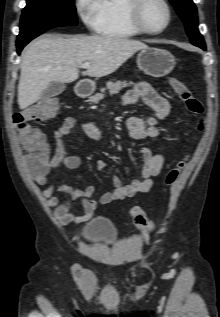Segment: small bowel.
Returning a JSON list of instances; mask_svg holds the SVG:
<instances>
[{"label":"small bowel","mask_w":220,"mask_h":317,"mask_svg":"<svg viewBox=\"0 0 220 317\" xmlns=\"http://www.w3.org/2000/svg\"><path fill=\"white\" fill-rule=\"evenodd\" d=\"M122 102L124 105L141 102L154 112V116L147 119L136 116L128 118L127 128L131 138L143 140L160 134L158 122L167 117L170 111V104L150 84L147 82L135 84L124 94ZM75 123L76 121L73 117H67L53 132V155L42 169H37L27 164L33 180L42 186L41 193L46 199L47 205L54 208L53 215L61 225L84 222L98 211L100 205L129 198L139 193H147L153 186V178L160 173L164 163L162 154H152L147 147H143L141 149L143 159L141 178L125 185L119 177L113 176L114 190L101 196L99 201L92 199L95 193L94 186H88L85 189H75L67 184L56 186L53 183H49L47 176L52 169L60 165L69 169H75L80 166V158L75 155H69L63 142V138L71 134ZM83 130L88 137L94 140H103L105 138L103 131L93 122L83 124ZM106 167L107 162L105 160H97L96 168L98 170H104ZM56 191L65 195V200L62 203H60L59 197L55 195ZM73 201L81 203L84 209L83 215L76 214L71 208Z\"/></svg>","instance_id":"1"}]
</instances>
